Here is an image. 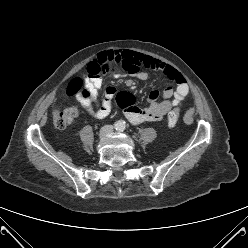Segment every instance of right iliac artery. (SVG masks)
Masks as SVG:
<instances>
[{"instance_id":"right-iliac-artery-1","label":"right iliac artery","mask_w":248,"mask_h":248,"mask_svg":"<svg viewBox=\"0 0 248 248\" xmlns=\"http://www.w3.org/2000/svg\"><path fill=\"white\" fill-rule=\"evenodd\" d=\"M120 125V123L115 124V127L117 128Z\"/></svg>"}]
</instances>
